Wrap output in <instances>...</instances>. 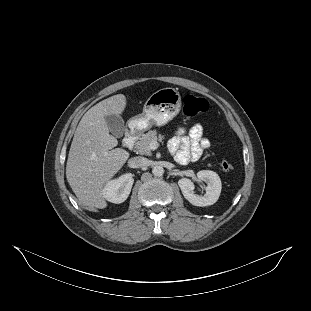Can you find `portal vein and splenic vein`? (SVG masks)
I'll return each mask as SVG.
<instances>
[{
  "mask_svg": "<svg viewBox=\"0 0 311 311\" xmlns=\"http://www.w3.org/2000/svg\"><path fill=\"white\" fill-rule=\"evenodd\" d=\"M157 147H158V142L157 141H153V142L150 143V148L151 149H157Z\"/></svg>",
  "mask_w": 311,
  "mask_h": 311,
  "instance_id": "18ae733b",
  "label": "portal vein and splenic vein"
}]
</instances>
